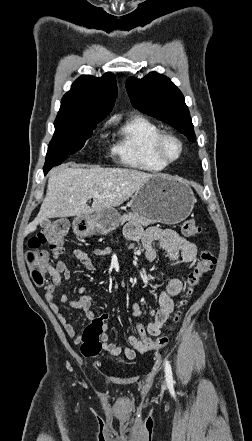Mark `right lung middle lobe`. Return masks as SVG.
<instances>
[{
	"mask_svg": "<svg viewBox=\"0 0 252 441\" xmlns=\"http://www.w3.org/2000/svg\"><path fill=\"white\" fill-rule=\"evenodd\" d=\"M100 120L57 116L55 133L48 146L44 171L61 164L70 154L79 151L92 135Z\"/></svg>",
	"mask_w": 252,
	"mask_h": 441,
	"instance_id": "obj_1",
	"label": "right lung middle lobe"
}]
</instances>
